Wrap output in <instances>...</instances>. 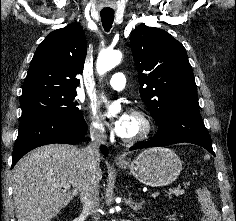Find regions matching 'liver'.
Returning a JSON list of instances; mask_svg holds the SVG:
<instances>
[{
  "mask_svg": "<svg viewBox=\"0 0 236 221\" xmlns=\"http://www.w3.org/2000/svg\"><path fill=\"white\" fill-rule=\"evenodd\" d=\"M81 151L67 144L46 145L15 165L12 188L18 221H51L80 193L85 174ZM97 177L102 178L100 168Z\"/></svg>",
  "mask_w": 236,
  "mask_h": 221,
  "instance_id": "6515ba94",
  "label": "liver"
}]
</instances>
